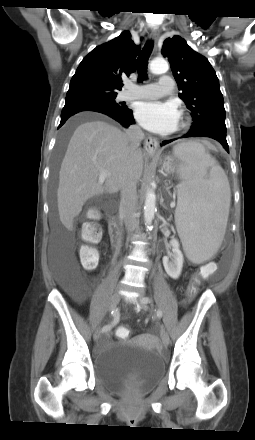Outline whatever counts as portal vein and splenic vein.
I'll list each match as a JSON object with an SVG mask.
<instances>
[{
  "instance_id": "obj_1",
  "label": "portal vein and splenic vein",
  "mask_w": 255,
  "mask_h": 440,
  "mask_svg": "<svg viewBox=\"0 0 255 440\" xmlns=\"http://www.w3.org/2000/svg\"><path fill=\"white\" fill-rule=\"evenodd\" d=\"M107 176H108V173L106 171L102 170L100 173V176H99V182L103 183Z\"/></svg>"
}]
</instances>
